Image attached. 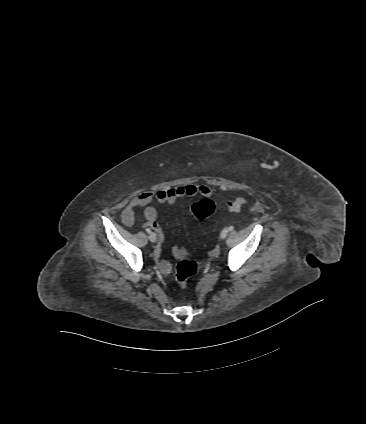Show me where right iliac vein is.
<instances>
[{"mask_svg": "<svg viewBox=\"0 0 366 424\" xmlns=\"http://www.w3.org/2000/svg\"><path fill=\"white\" fill-rule=\"evenodd\" d=\"M149 240H150L151 242H155V241L157 240V236H156V234H155V233H153V232H151V233L149 234Z\"/></svg>", "mask_w": 366, "mask_h": 424, "instance_id": "1", "label": "right iliac vein"}]
</instances>
